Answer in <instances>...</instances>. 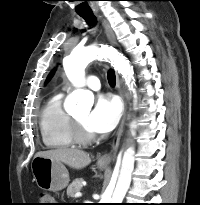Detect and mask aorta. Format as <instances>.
I'll use <instances>...</instances> for the list:
<instances>
[{"mask_svg":"<svg viewBox=\"0 0 200 205\" xmlns=\"http://www.w3.org/2000/svg\"><path fill=\"white\" fill-rule=\"evenodd\" d=\"M106 58L111 59L115 70H117L118 73H120L126 80V84L128 85L129 89H133V67L122 54L107 46L101 48L94 45L87 47H76L71 51L70 55L64 59L63 62L64 70L68 79L76 87H78V89H76L69 97L70 106L74 111H90L94 102V96L91 92L80 88L84 85L85 68L91 61L95 59ZM134 155V147H129L125 151L116 187L112 194L105 193L102 196L100 203H122L131 183V176L134 170Z\"/></svg>","mask_w":200,"mask_h":205,"instance_id":"obj_1","label":"aorta"}]
</instances>
